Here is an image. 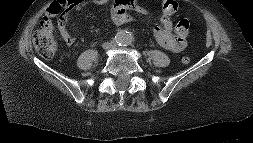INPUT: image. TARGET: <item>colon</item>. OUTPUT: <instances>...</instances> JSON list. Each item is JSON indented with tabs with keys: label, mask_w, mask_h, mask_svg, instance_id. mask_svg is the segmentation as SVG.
Here are the masks:
<instances>
[{
	"label": "colon",
	"mask_w": 253,
	"mask_h": 143,
	"mask_svg": "<svg viewBox=\"0 0 253 143\" xmlns=\"http://www.w3.org/2000/svg\"><path fill=\"white\" fill-rule=\"evenodd\" d=\"M82 0H56L49 7V16L58 15L64 7L72 9L78 6ZM173 9H177L176 3L173 5ZM190 24L186 19H182L176 26V33L180 36L187 37ZM33 44L38 54L43 58H51L57 51V42L53 33V25L46 17L41 22L40 28L33 35ZM191 58L188 55H184L181 58L183 64H189Z\"/></svg>",
	"instance_id": "obj_1"
}]
</instances>
